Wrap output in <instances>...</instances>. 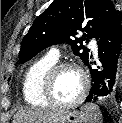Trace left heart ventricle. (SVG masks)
I'll list each match as a JSON object with an SVG mask.
<instances>
[{
    "instance_id": "b2bd125f",
    "label": "left heart ventricle",
    "mask_w": 122,
    "mask_h": 123,
    "mask_svg": "<svg viewBox=\"0 0 122 123\" xmlns=\"http://www.w3.org/2000/svg\"><path fill=\"white\" fill-rule=\"evenodd\" d=\"M81 87L80 74L74 69H64L55 78L53 85L54 98L60 102L71 101L79 94Z\"/></svg>"
}]
</instances>
